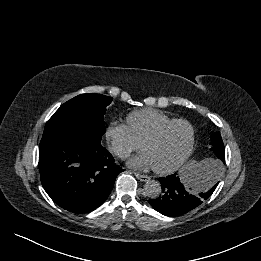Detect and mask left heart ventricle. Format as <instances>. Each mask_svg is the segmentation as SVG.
Returning <instances> with one entry per match:
<instances>
[{
	"instance_id": "obj_1",
	"label": "left heart ventricle",
	"mask_w": 261,
	"mask_h": 261,
	"mask_svg": "<svg viewBox=\"0 0 261 261\" xmlns=\"http://www.w3.org/2000/svg\"><path fill=\"white\" fill-rule=\"evenodd\" d=\"M190 140V130L185 124L169 127L156 141L145 145L153 167L163 168L174 164L185 153Z\"/></svg>"
}]
</instances>
